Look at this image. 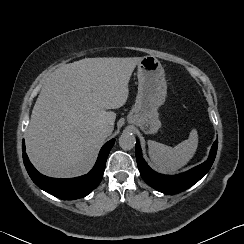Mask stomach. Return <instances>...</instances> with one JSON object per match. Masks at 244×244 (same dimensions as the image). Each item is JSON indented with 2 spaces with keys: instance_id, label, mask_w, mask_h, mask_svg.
<instances>
[{
  "instance_id": "0dacf381",
  "label": "stomach",
  "mask_w": 244,
  "mask_h": 244,
  "mask_svg": "<svg viewBox=\"0 0 244 244\" xmlns=\"http://www.w3.org/2000/svg\"><path fill=\"white\" fill-rule=\"evenodd\" d=\"M138 95L128 121L146 134H156L161 128L160 108L165 104L167 85L160 61L147 55L137 65Z\"/></svg>"
}]
</instances>
